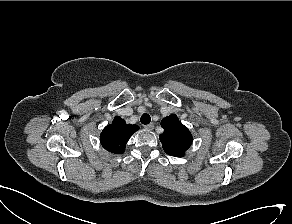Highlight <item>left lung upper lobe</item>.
<instances>
[{"mask_svg": "<svg viewBox=\"0 0 292 224\" xmlns=\"http://www.w3.org/2000/svg\"><path fill=\"white\" fill-rule=\"evenodd\" d=\"M164 133L159 136L164 151L175 157H183L192 144V134L173 114L161 121Z\"/></svg>", "mask_w": 292, "mask_h": 224, "instance_id": "1", "label": "left lung upper lobe"}]
</instances>
